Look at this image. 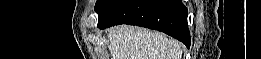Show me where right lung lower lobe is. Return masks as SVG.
<instances>
[{
  "label": "right lung lower lobe",
  "instance_id": "obj_1",
  "mask_svg": "<svg viewBox=\"0 0 261 59\" xmlns=\"http://www.w3.org/2000/svg\"><path fill=\"white\" fill-rule=\"evenodd\" d=\"M187 14L181 0H119L109 11L98 16V28L138 25L162 31L189 48Z\"/></svg>",
  "mask_w": 261,
  "mask_h": 59
}]
</instances>
